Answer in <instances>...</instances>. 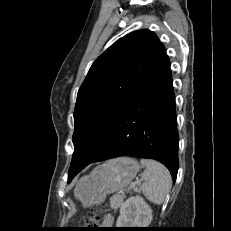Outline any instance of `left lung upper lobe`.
<instances>
[{
    "mask_svg": "<svg viewBox=\"0 0 231 231\" xmlns=\"http://www.w3.org/2000/svg\"><path fill=\"white\" fill-rule=\"evenodd\" d=\"M163 50L156 34L142 29L120 38L95 60L77 95L74 153L68 174L91 158Z\"/></svg>",
    "mask_w": 231,
    "mask_h": 231,
    "instance_id": "1",
    "label": "left lung upper lobe"
}]
</instances>
